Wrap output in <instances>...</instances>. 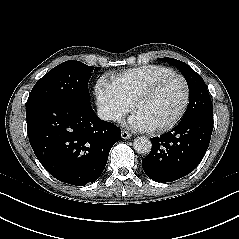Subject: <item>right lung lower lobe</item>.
I'll use <instances>...</instances> for the list:
<instances>
[{
  "mask_svg": "<svg viewBox=\"0 0 239 239\" xmlns=\"http://www.w3.org/2000/svg\"><path fill=\"white\" fill-rule=\"evenodd\" d=\"M26 108L29 141L45 169L71 185L96 181L121 130L98 118L90 101H48Z\"/></svg>",
  "mask_w": 239,
  "mask_h": 239,
  "instance_id": "obj_1",
  "label": "right lung lower lobe"
}]
</instances>
